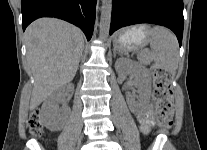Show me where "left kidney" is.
Returning <instances> with one entry per match:
<instances>
[{"mask_svg": "<svg viewBox=\"0 0 207 150\" xmlns=\"http://www.w3.org/2000/svg\"><path fill=\"white\" fill-rule=\"evenodd\" d=\"M116 70L118 73L127 75L133 74L140 84L139 100L135 102L131 95L127 96L130 110L135 114L144 112L150 102L151 95V77L145 66L133 62L126 58H120L116 61Z\"/></svg>", "mask_w": 207, "mask_h": 150, "instance_id": "left-kidney-1", "label": "left kidney"}]
</instances>
